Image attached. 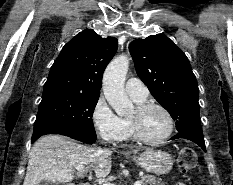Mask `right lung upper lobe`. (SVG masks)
<instances>
[{
  "mask_svg": "<svg viewBox=\"0 0 233 185\" xmlns=\"http://www.w3.org/2000/svg\"><path fill=\"white\" fill-rule=\"evenodd\" d=\"M117 46L114 37L102 38L90 29L80 32L62 48L50 69L44 92L99 95L103 72Z\"/></svg>",
  "mask_w": 233,
  "mask_h": 185,
  "instance_id": "right-lung-upper-lobe-1",
  "label": "right lung upper lobe"
}]
</instances>
